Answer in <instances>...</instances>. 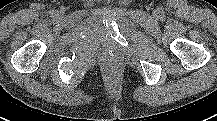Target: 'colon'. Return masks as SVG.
I'll list each match as a JSON object with an SVG mask.
<instances>
[{
  "label": "colon",
  "instance_id": "obj_1",
  "mask_svg": "<svg viewBox=\"0 0 217 121\" xmlns=\"http://www.w3.org/2000/svg\"><path fill=\"white\" fill-rule=\"evenodd\" d=\"M113 71H114V67H110L109 72H113Z\"/></svg>",
  "mask_w": 217,
  "mask_h": 121
}]
</instances>
